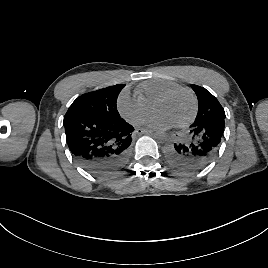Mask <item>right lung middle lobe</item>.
<instances>
[{
  "mask_svg": "<svg viewBox=\"0 0 268 268\" xmlns=\"http://www.w3.org/2000/svg\"><path fill=\"white\" fill-rule=\"evenodd\" d=\"M124 86L123 84H118L81 95L71 104L63 122L79 115L104 119L119 118L116 102Z\"/></svg>",
  "mask_w": 268,
  "mask_h": 268,
  "instance_id": "dd1d6c3e",
  "label": "right lung middle lobe"
}]
</instances>
